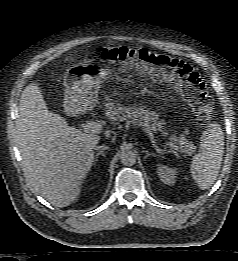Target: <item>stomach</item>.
I'll use <instances>...</instances> for the list:
<instances>
[{
  "instance_id": "stomach-1",
  "label": "stomach",
  "mask_w": 238,
  "mask_h": 261,
  "mask_svg": "<svg viewBox=\"0 0 238 261\" xmlns=\"http://www.w3.org/2000/svg\"><path fill=\"white\" fill-rule=\"evenodd\" d=\"M109 75L108 69H99L94 66L70 67L64 76L65 108L73 113L93 109L98 101L100 83Z\"/></svg>"
}]
</instances>
